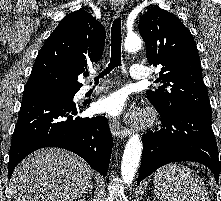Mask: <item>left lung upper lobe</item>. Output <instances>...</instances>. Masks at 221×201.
I'll return each mask as SVG.
<instances>
[{
	"mask_svg": "<svg viewBox=\"0 0 221 201\" xmlns=\"http://www.w3.org/2000/svg\"><path fill=\"white\" fill-rule=\"evenodd\" d=\"M139 32L149 63L163 66L158 79L162 85L146 92L155 108L163 112L210 108L196 44L180 19L154 7L140 18Z\"/></svg>",
	"mask_w": 221,
	"mask_h": 201,
	"instance_id": "obj_1",
	"label": "left lung upper lobe"
}]
</instances>
